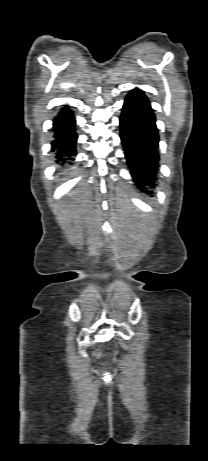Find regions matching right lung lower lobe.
Instances as JSON below:
<instances>
[{"label":"right lung lower lobe","instance_id":"98d812e1","mask_svg":"<svg viewBox=\"0 0 208 461\" xmlns=\"http://www.w3.org/2000/svg\"><path fill=\"white\" fill-rule=\"evenodd\" d=\"M54 141L51 143V151L55 152L56 162L64 163L74 160L76 154L77 134L75 132V119L68 110V106L62 108L59 115L53 120Z\"/></svg>","mask_w":208,"mask_h":461}]
</instances>
